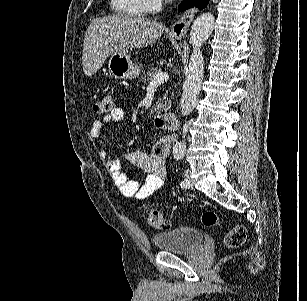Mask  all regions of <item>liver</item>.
<instances>
[{"label":"liver","instance_id":"liver-1","mask_svg":"<svg viewBox=\"0 0 307 301\" xmlns=\"http://www.w3.org/2000/svg\"><path fill=\"white\" fill-rule=\"evenodd\" d=\"M164 28L157 20L131 14H110L95 18L89 24L84 38V74H96L107 56L113 52H126L156 42Z\"/></svg>","mask_w":307,"mask_h":301}]
</instances>
